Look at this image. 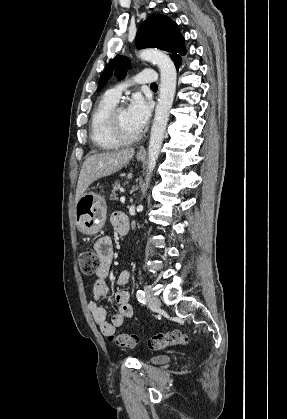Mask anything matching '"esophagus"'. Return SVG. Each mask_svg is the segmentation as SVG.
<instances>
[{
  "label": "esophagus",
  "instance_id": "1",
  "mask_svg": "<svg viewBox=\"0 0 287 419\" xmlns=\"http://www.w3.org/2000/svg\"><path fill=\"white\" fill-rule=\"evenodd\" d=\"M138 153H139V154H145V150H144V149H140V150L138 151Z\"/></svg>",
  "mask_w": 287,
  "mask_h": 419
}]
</instances>
